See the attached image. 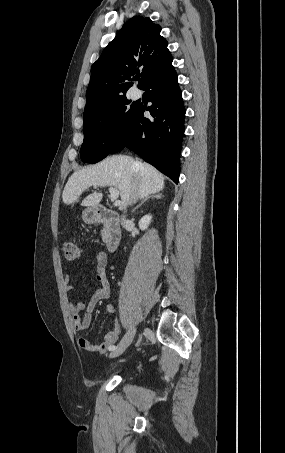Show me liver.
Listing matches in <instances>:
<instances>
[{
    "instance_id": "6515ba94",
    "label": "liver",
    "mask_w": 285,
    "mask_h": 453,
    "mask_svg": "<svg viewBox=\"0 0 285 453\" xmlns=\"http://www.w3.org/2000/svg\"><path fill=\"white\" fill-rule=\"evenodd\" d=\"M134 159L125 155L110 156L100 163L74 172L66 183L62 199L66 205L79 201L81 194L90 186H112L120 191L119 209L128 205L136 188L135 198H144L164 188V176L153 166L141 163L134 165ZM102 193H92L81 202L85 207H96L102 200Z\"/></svg>"
}]
</instances>
